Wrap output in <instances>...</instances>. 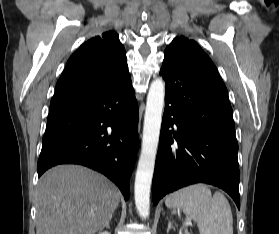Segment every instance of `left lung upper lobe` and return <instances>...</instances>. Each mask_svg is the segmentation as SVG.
I'll return each mask as SVG.
<instances>
[{"label":"left lung upper lobe","mask_w":279,"mask_h":234,"mask_svg":"<svg viewBox=\"0 0 279 234\" xmlns=\"http://www.w3.org/2000/svg\"><path fill=\"white\" fill-rule=\"evenodd\" d=\"M166 50L175 51L179 55L193 62L215 67L209 56L200 48V46L195 41L183 36L174 38V40L166 48Z\"/></svg>","instance_id":"obj_1"}]
</instances>
